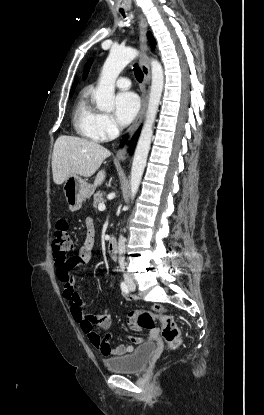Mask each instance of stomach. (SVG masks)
<instances>
[{
	"label": "stomach",
	"instance_id": "0dacf381",
	"mask_svg": "<svg viewBox=\"0 0 264 415\" xmlns=\"http://www.w3.org/2000/svg\"><path fill=\"white\" fill-rule=\"evenodd\" d=\"M63 192L69 210L75 212L82 207L85 199L90 198L94 192V186L85 182L77 175H70L65 180Z\"/></svg>",
	"mask_w": 264,
	"mask_h": 415
}]
</instances>
